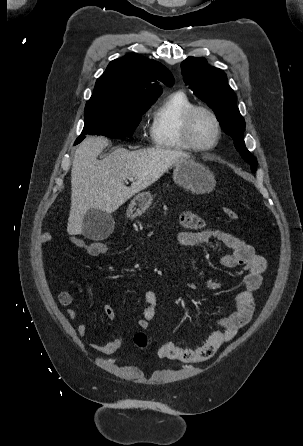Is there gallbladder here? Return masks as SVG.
Returning <instances> with one entry per match:
<instances>
[{
  "instance_id": "gallbladder-1",
  "label": "gallbladder",
  "mask_w": 303,
  "mask_h": 446,
  "mask_svg": "<svg viewBox=\"0 0 303 446\" xmlns=\"http://www.w3.org/2000/svg\"><path fill=\"white\" fill-rule=\"evenodd\" d=\"M114 224L110 214L97 209H91L84 216L82 234L92 240H102L112 233Z\"/></svg>"
}]
</instances>
